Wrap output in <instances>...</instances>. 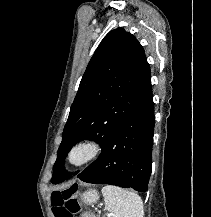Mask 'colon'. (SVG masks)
Segmentation results:
<instances>
[{"label":"colon","instance_id":"1","mask_svg":"<svg viewBox=\"0 0 211 217\" xmlns=\"http://www.w3.org/2000/svg\"><path fill=\"white\" fill-rule=\"evenodd\" d=\"M77 185L63 190L53 192L51 195V205L55 217H74L81 208L75 197ZM81 217H96L92 212H83Z\"/></svg>","mask_w":211,"mask_h":217}]
</instances>
